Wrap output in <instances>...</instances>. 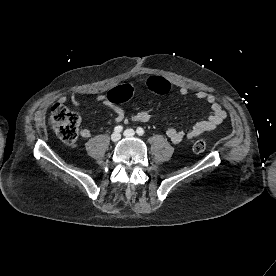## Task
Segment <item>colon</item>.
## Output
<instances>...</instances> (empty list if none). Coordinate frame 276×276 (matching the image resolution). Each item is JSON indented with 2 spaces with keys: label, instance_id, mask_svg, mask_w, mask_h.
Returning a JSON list of instances; mask_svg holds the SVG:
<instances>
[{
  "label": "colon",
  "instance_id": "obj_1",
  "mask_svg": "<svg viewBox=\"0 0 276 276\" xmlns=\"http://www.w3.org/2000/svg\"><path fill=\"white\" fill-rule=\"evenodd\" d=\"M158 82H162L169 87V83L164 79H151L148 82V86L151 89H157ZM109 96L113 100H126L131 97V93L127 88L122 87L112 89L109 92ZM50 122L62 142L67 145H71L76 141L80 125V117L78 114L71 112L62 104H55L50 111ZM192 149L195 153H201L206 149V142L202 139L196 140L193 143Z\"/></svg>",
  "mask_w": 276,
  "mask_h": 276
}]
</instances>
